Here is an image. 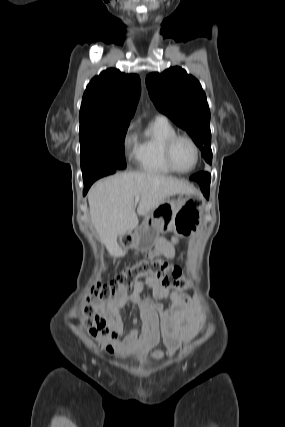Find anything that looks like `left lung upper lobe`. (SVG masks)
I'll return each instance as SVG.
<instances>
[{
    "instance_id": "obj_1",
    "label": "left lung upper lobe",
    "mask_w": 285,
    "mask_h": 427,
    "mask_svg": "<svg viewBox=\"0 0 285 427\" xmlns=\"http://www.w3.org/2000/svg\"><path fill=\"white\" fill-rule=\"evenodd\" d=\"M146 86L156 108L186 130L211 164L210 110L199 81L180 67L151 73Z\"/></svg>"
}]
</instances>
